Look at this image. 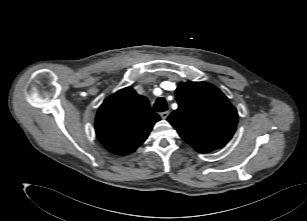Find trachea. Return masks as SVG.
I'll list each match as a JSON object with an SVG mask.
<instances>
[{"mask_svg":"<svg viewBox=\"0 0 307 221\" xmlns=\"http://www.w3.org/2000/svg\"><path fill=\"white\" fill-rule=\"evenodd\" d=\"M154 110L156 112H164L167 110V103L163 97L158 98L154 103Z\"/></svg>","mask_w":307,"mask_h":221,"instance_id":"3493384b","label":"trachea"}]
</instances>
